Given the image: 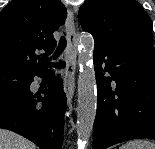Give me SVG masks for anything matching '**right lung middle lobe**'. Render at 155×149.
<instances>
[{
  "label": "right lung middle lobe",
  "instance_id": "dd1d6c3e",
  "mask_svg": "<svg viewBox=\"0 0 155 149\" xmlns=\"http://www.w3.org/2000/svg\"><path fill=\"white\" fill-rule=\"evenodd\" d=\"M31 76L8 68H0V95L22 94L30 88Z\"/></svg>",
  "mask_w": 155,
  "mask_h": 149
}]
</instances>
